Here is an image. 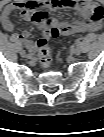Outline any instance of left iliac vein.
<instances>
[{"instance_id":"1","label":"left iliac vein","mask_w":104,"mask_h":137,"mask_svg":"<svg viewBox=\"0 0 104 137\" xmlns=\"http://www.w3.org/2000/svg\"><path fill=\"white\" fill-rule=\"evenodd\" d=\"M81 52H82V50H81L80 47H75V48H73V53H74L75 55H80Z\"/></svg>"}]
</instances>
